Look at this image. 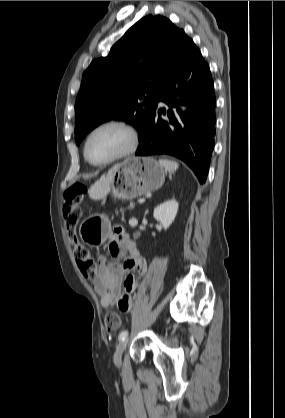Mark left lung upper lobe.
Segmentation results:
<instances>
[{"mask_svg":"<svg viewBox=\"0 0 285 418\" xmlns=\"http://www.w3.org/2000/svg\"><path fill=\"white\" fill-rule=\"evenodd\" d=\"M184 35L169 19L149 15L130 27L108 56L92 61L75 103L77 145L111 119L132 124L143 139Z\"/></svg>","mask_w":285,"mask_h":418,"instance_id":"obj_1","label":"left lung upper lobe"}]
</instances>
